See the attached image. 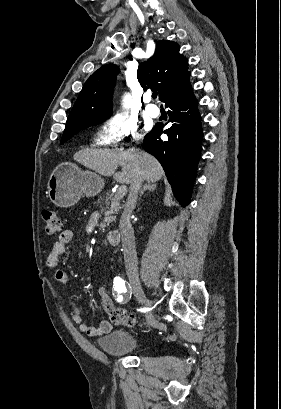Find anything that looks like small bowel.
Instances as JSON below:
<instances>
[{
	"label": "small bowel",
	"mask_w": 281,
	"mask_h": 409,
	"mask_svg": "<svg viewBox=\"0 0 281 409\" xmlns=\"http://www.w3.org/2000/svg\"><path fill=\"white\" fill-rule=\"evenodd\" d=\"M72 237L73 233L71 230H64L60 233L58 239L53 244L52 249L47 257V265L50 268L57 267L59 259L65 253L66 246L71 242ZM55 279L60 284L67 285L69 282V275L65 270L56 269ZM95 292L100 299L103 310L109 316L108 320H103L97 327L89 326L84 323L83 315L77 300L72 296L67 298L69 313L73 322L78 326V329L81 333L86 334L90 337H99L105 334H109L117 325H119V323L115 322L112 319L113 313L117 311L118 308H116L114 301L109 296L107 289L105 287H98L96 288Z\"/></svg>",
	"instance_id": "c3829d8e"
}]
</instances>
